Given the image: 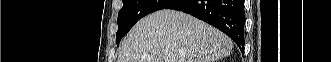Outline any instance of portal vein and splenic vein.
Returning a JSON list of instances; mask_svg holds the SVG:
<instances>
[{
	"label": "portal vein and splenic vein",
	"mask_w": 331,
	"mask_h": 62,
	"mask_svg": "<svg viewBox=\"0 0 331 62\" xmlns=\"http://www.w3.org/2000/svg\"><path fill=\"white\" fill-rule=\"evenodd\" d=\"M173 59H174V56H171V55H168V56L165 58V60H166V61H169V62H172Z\"/></svg>",
	"instance_id": "18ae733b"
}]
</instances>
